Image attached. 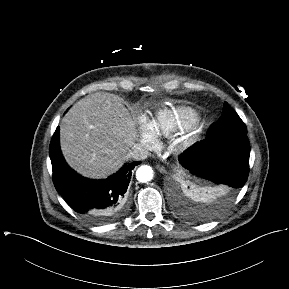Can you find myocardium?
Masks as SVG:
<instances>
[{"mask_svg": "<svg viewBox=\"0 0 289 289\" xmlns=\"http://www.w3.org/2000/svg\"><path fill=\"white\" fill-rule=\"evenodd\" d=\"M196 129H197V126H195V125L191 126L189 128V131H188L190 134L187 135L185 138H180L176 141V143H175V150L176 151L183 150L185 147H187L190 144L193 136L196 133Z\"/></svg>", "mask_w": 289, "mask_h": 289, "instance_id": "f54148a6", "label": "myocardium"}]
</instances>
